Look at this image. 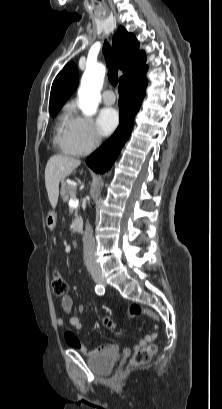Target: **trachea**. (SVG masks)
I'll return each mask as SVG.
<instances>
[{
    "mask_svg": "<svg viewBox=\"0 0 222 409\" xmlns=\"http://www.w3.org/2000/svg\"><path fill=\"white\" fill-rule=\"evenodd\" d=\"M103 54L108 67L109 80L113 86H116L118 83V65L112 48L107 41H105L103 45Z\"/></svg>",
    "mask_w": 222,
    "mask_h": 409,
    "instance_id": "trachea-1",
    "label": "trachea"
}]
</instances>
